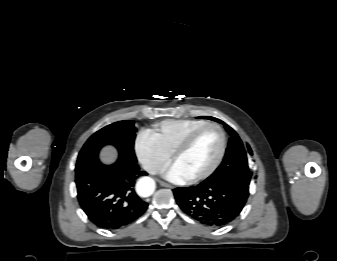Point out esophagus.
I'll return each instance as SVG.
<instances>
[{
	"label": "esophagus",
	"mask_w": 337,
	"mask_h": 261,
	"mask_svg": "<svg viewBox=\"0 0 337 261\" xmlns=\"http://www.w3.org/2000/svg\"><path fill=\"white\" fill-rule=\"evenodd\" d=\"M159 184L162 186V187H166V188H174L171 184H168V183H166V182H164V181H160L159 180Z\"/></svg>",
	"instance_id": "obj_1"
}]
</instances>
